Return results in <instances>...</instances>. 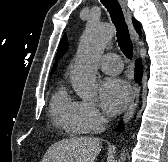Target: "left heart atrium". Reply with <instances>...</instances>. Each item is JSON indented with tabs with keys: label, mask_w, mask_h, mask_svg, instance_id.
<instances>
[{
	"label": "left heart atrium",
	"mask_w": 168,
	"mask_h": 162,
	"mask_svg": "<svg viewBox=\"0 0 168 162\" xmlns=\"http://www.w3.org/2000/svg\"><path fill=\"white\" fill-rule=\"evenodd\" d=\"M130 97V87L123 79L107 78L101 83V104L109 114L121 112L128 104Z\"/></svg>",
	"instance_id": "left-heart-atrium-1"
}]
</instances>
